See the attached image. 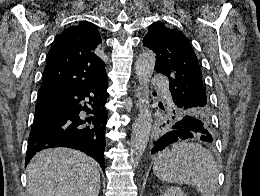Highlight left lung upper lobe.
I'll return each instance as SVG.
<instances>
[{"label":"left lung upper lobe","instance_id":"obj_1","mask_svg":"<svg viewBox=\"0 0 260 196\" xmlns=\"http://www.w3.org/2000/svg\"><path fill=\"white\" fill-rule=\"evenodd\" d=\"M143 45L156 53L155 70L169 78L172 104L160 114L152 133L151 145L176 123L193 119L204 123L208 134L212 133V111L207 99L199 61L188 38L178 29L154 22L143 38ZM198 133L194 137H200ZM202 140V139H201ZM153 149V148H152ZM152 152V151H151Z\"/></svg>","mask_w":260,"mask_h":196}]
</instances>
